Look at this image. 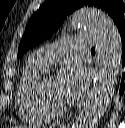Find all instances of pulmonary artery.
Wrapping results in <instances>:
<instances>
[{
  "label": "pulmonary artery",
  "mask_w": 125,
  "mask_h": 128,
  "mask_svg": "<svg viewBox=\"0 0 125 128\" xmlns=\"http://www.w3.org/2000/svg\"><path fill=\"white\" fill-rule=\"evenodd\" d=\"M96 38L92 34H78L63 41L42 47L30 56V60L38 66L47 69L56 60L68 56L77 50L93 47Z\"/></svg>",
  "instance_id": "pulmonary-artery-1"
}]
</instances>
